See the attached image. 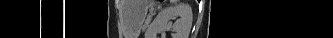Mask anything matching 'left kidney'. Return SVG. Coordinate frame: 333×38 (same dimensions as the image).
Wrapping results in <instances>:
<instances>
[{"mask_svg":"<svg viewBox=\"0 0 333 38\" xmlns=\"http://www.w3.org/2000/svg\"><path fill=\"white\" fill-rule=\"evenodd\" d=\"M179 17L176 23L171 20ZM192 9L188 4L178 3L161 10L149 27L152 36L164 34L171 29L172 38H188L192 27Z\"/></svg>","mask_w":333,"mask_h":38,"instance_id":"obj_1","label":"left kidney"}]
</instances>
